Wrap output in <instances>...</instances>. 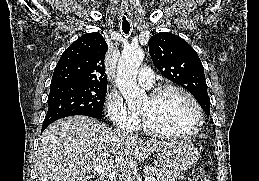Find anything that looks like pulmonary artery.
<instances>
[{
    "mask_svg": "<svg viewBox=\"0 0 259 181\" xmlns=\"http://www.w3.org/2000/svg\"><path fill=\"white\" fill-rule=\"evenodd\" d=\"M154 82L153 71L148 67H142L139 72L138 83L145 88H151Z\"/></svg>",
    "mask_w": 259,
    "mask_h": 181,
    "instance_id": "e3ab8cb5",
    "label": "pulmonary artery"
}]
</instances>
